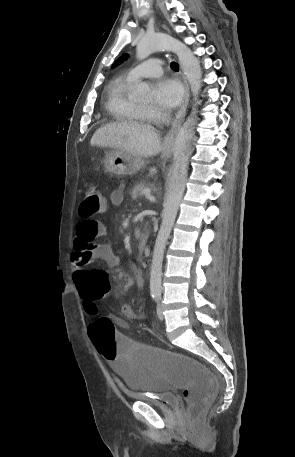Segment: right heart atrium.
<instances>
[{
  "label": "right heart atrium",
  "instance_id": "1",
  "mask_svg": "<svg viewBox=\"0 0 295 457\" xmlns=\"http://www.w3.org/2000/svg\"><path fill=\"white\" fill-rule=\"evenodd\" d=\"M144 114L146 119L156 120L163 116V112L151 106L144 107Z\"/></svg>",
  "mask_w": 295,
  "mask_h": 457
}]
</instances>
